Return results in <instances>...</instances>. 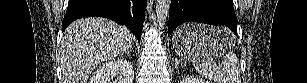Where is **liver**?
<instances>
[{
	"label": "liver",
	"mask_w": 307,
	"mask_h": 83,
	"mask_svg": "<svg viewBox=\"0 0 307 83\" xmlns=\"http://www.w3.org/2000/svg\"><path fill=\"white\" fill-rule=\"evenodd\" d=\"M132 48V34L105 18H84L66 28L61 41L62 83H86L103 61Z\"/></svg>",
	"instance_id": "1"
}]
</instances>
